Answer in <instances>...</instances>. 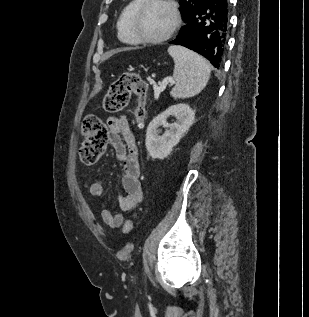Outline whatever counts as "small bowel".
Listing matches in <instances>:
<instances>
[{
    "label": "small bowel",
    "instance_id": "1",
    "mask_svg": "<svg viewBox=\"0 0 309 317\" xmlns=\"http://www.w3.org/2000/svg\"><path fill=\"white\" fill-rule=\"evenodd\" d=\"M109 144L122 164V187L124 194L119 195L118 203L122 211L108 209V201L103 199V183L97 178H86L83 187L93 198L99 199L102 221L111 228L123 225L127 215L132 213L143 200L140 180V162L135 136L125 116H112L107 119Z\"/></svg>",
    "mask_w": 309,
    "mask_h": 317
}]
</instances>
